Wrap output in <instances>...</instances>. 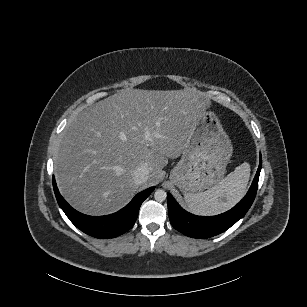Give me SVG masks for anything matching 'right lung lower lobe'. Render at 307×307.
I'll use <instances>...</instances> for the list:
<instances>
[{
	"label": "right lung lower lobe",
	"instance_id": "obj_1",
	"mask_svg": "<svg viewBox=\"0 0 307 307\" xmlns=\"http://www.w3.org/2000/svg\"><path fill=\"white\" fill-rule=\"evenodd\" d=\"M53 188L57 202L70 221L84 233L96 238H114L128 231L135 223L142 202L154 187L138 193L120 211L106 216H87L73 209L60 195L53 177Z\"/></svg>",
	"mask_w": 307,
	"mask_h": 307
}]
</instances>
